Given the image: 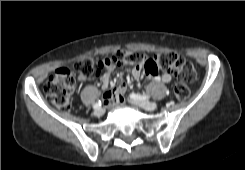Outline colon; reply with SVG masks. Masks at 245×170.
I'll return each mask as SVG.
<instances>
[{"label": "colon", "mask_w": 245, "mask_h": 170, "mask_svg": "<svg viewBox=\"0 0 245 170\" xmlns=\"http://www.w3.org/2000/svg\"><path fill=\"white\" fill-rule=\"evenodd\" d=\"M122 61L129 64H141L148 72H151L158 64V59L152 55L123 52L95 62L88 59L80 64L79 72L86 78H91L97 76L103 70L110 69L114 63H121ZM162 62L163 65L179 79L180 82L176 88L177 92L185 93L187 91L185 82L192 81L195 76L192 64L184 56L178 55H170ZM77 81V76L69 70H59L48 77L44 84V91L46 95L60 107H68Z\"/></svg>", "instance_id": "obj_1"}]
</instances>
